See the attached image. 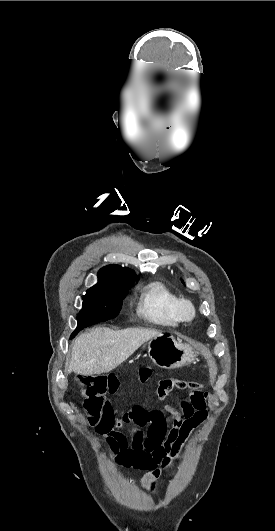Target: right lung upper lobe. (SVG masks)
Here are the masks:
<instances>
[{"label": "right lung upper lobe", "mask_w": 275, "mask_h": 531, "mask_svg": "<svg viewBox=\"0 0 275 531\" xmlns=\"http://www.w3.org/2000/svg\"><path fill=\"white\" fill-rule=\"evenodd\" d=\"M136 279V274L129 268L119 265H108L98 272V283L101 285L129 284Z\"/></svg>", "instance_id": "obj_1"}]
</instances>
